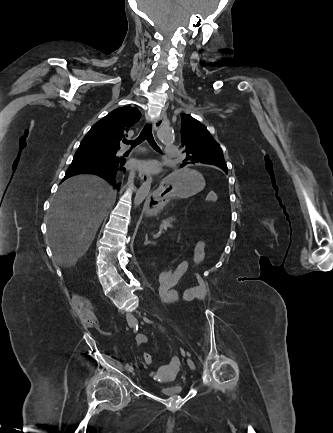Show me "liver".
I'll use <instances>...</instances> for the list:
<instances>
[{"label":"liver","mask_w":333,"mask_h":433,"mask_svg":"<svg viewBox=\"0 0 333 433\" xmlns=\"http://www.w3.org/2000/svg\"><path fill=\"white\" fill-rule=\"evenodd\" d=\"M115 198L113 188L95 175H77L62 183L48 214V237L59 266H74L84 256Z\"/></svg>","instance_id":"obj_1"}]
</instances>
